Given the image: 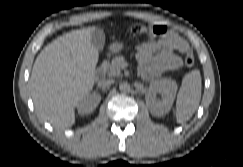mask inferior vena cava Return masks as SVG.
I'll use <instances>...</instances> for the list:
<instances>
[{
  "mask_svg": "<svg viewBox=\"0 0 243 167\" xmlns=\"http://www.w3.org/2000/svg\"><path fill=\"white\" fill-rule=\"evenodd\" d=\"M113 83H114V80L109 79V80L104 81V82L102 83V86H103L104 88H107V87L111 86Z\"/></svg>",
  "mask_w": 243,
  "mask_h": 167,
  "instance_id": "602c4592",
  "label": "inferior vena cava"
}]
</instances>
